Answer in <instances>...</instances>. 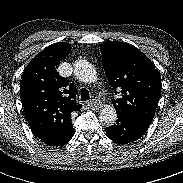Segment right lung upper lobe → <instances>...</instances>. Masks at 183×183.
I'll list each match as a JSON object with an SVG mask.
<instances>
[{"label":"right lung upper lobe","mask_w":183,"mask_h":183,"mask_svg":"<svg viewBox=\"0 0 183 183\" xmlns=\"http://www.w3.org/2000/svg\"><path fill=\"white\" fill-rule=\"evenodd\" d=\"M71 51V45L58 42L46 47L24 70L20 93L27 121L40 140H58L74 133L71 114L79 112L76 86L61 77L56 68Z\"/></svg>","instance_id":"cb5924a9"}]
</instances>
